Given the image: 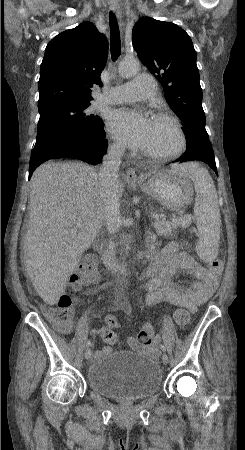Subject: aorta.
Returning a JSON list of instances; mask_svg holds the SVG:
<instances>
[{
	"mask_svg": "<svg viewBox=\"0 0 245 450\" xmlns=\"http://www.w3.org/2000/svg\"><path fill=\"white\" fill-rule=\"evenodd\" d=\"M140 68V64L136 59L122 60L118 66V72L122 77L134 76Z\"/></svg>",
	"mask_w": 245,
	"mask_h": 450,
	"instance_id": "aorta-1",
	"label": "aorta"
}]
</instances>
